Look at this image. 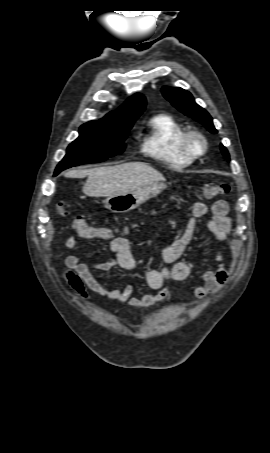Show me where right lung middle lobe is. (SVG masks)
Listing matches in <instances>:
<instances>
[{
    "label": "right lung middle lobe",
    "mask_w": 270,
    "mask_h": 453,
    "mask_svg": "<svg viewBox=\"0 0 270 453\" xmlns=\"http://www.w3.org/2000/svg\"><path fill=\"white\" fill-rule=\"evenodd\" d=\"M131 126L116 128L98 122H88L80 127V136L67 148L58 164L55 175L64 169L86 163H96L119 155L125 149L124 140Z\"/></svg>",
    "instance_id": "dd1d6c3e"
}]
</instances>
